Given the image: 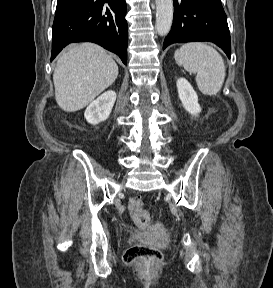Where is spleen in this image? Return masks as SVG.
Listing matches in <instances>:
<instances>
[{
    "instance_id": "1",
    "label": "spleen",
    "mask_w": 273,
    "mask_h": 288,
    "mask_svg": "<svg viewBox=\"0 0 273 288\" xmlns=\"http://www.w3.org/2000/svg\"><path fill=\"white\" fill-rule=\"evenodd\" d=\"M174 58L186 71L196 73L197 86L204 95H216L221 90L226 69L216 49L202 42L186 43Z\"/></svg>"
}]
</instances>
